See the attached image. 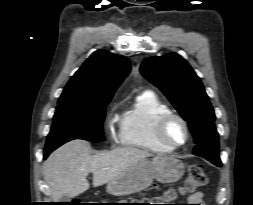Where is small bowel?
Instances as JSON below:
<instances>
[{
  "instance_id": "small-bowel-1",
  "label": "small bowel",
  "mask_w": 253,
  "mask_h": 205,
  "mask_svg": "<svg viewBox=\"0 0 253 205\" xmlns=\"http://www.w3.org/2000/svg\"><path fill=\"white\" fill-rule=\"evenodd\" d=\"M189 202L191 205H206L203 201V194L201 192H196L189 196Z\"/></svg>"
}]
</instances>
